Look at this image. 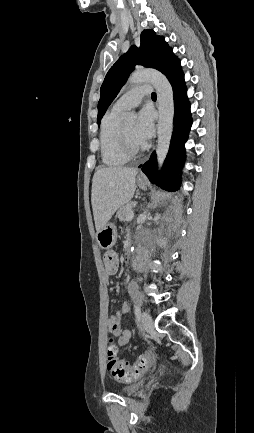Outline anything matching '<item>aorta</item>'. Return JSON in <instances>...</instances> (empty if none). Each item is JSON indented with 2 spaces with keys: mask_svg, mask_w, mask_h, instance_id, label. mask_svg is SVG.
Masks as SVG:
<instances>
[{
  "mask_svg": "<svg viewBox=\"0 0 254 433\" xmlns=\"http://www.w3.org/2000/svg\"><path fill=\"white\" fill-rule=\"evenodd\" d=\"M151 83L157 93L159 122H158V142L156 148L158 168L161 169L164 160L168 154L170 140L173 130L174 101L173 90L168 79L159 71L146 69L137 70L132 73L128 79L129 85H138L140 83ZM125 120L133 121L136 115L127 112L124 115Z\"/></svg>",
  "mask_w": 254,
  "mask_h": 433,
  "instance_id": "762f6f07",
  "label": "aorta"
}]
</instances>
